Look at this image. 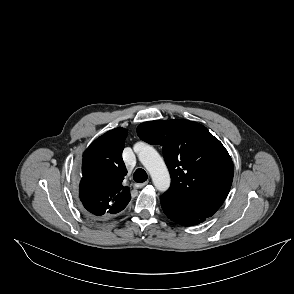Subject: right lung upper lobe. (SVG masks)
<instances>
[{"label":"right lung upper lobe","mask_w":294,"mask_h":294,"mask_svg":"<svg viewBox=\"0 0 294 294\" xmlns=\"http://www.w3.org/2000/svg\"><path fill=\"white\" fill-rule=\"evenodd\" d=\"M127 131L110 130L84 152L79 197L85 209L96 217H110L130 201L129 188L122 185L127 174L122 159Z\"/></svg>","instance_id":"right-lung-upper-lobe-1"}]
</instances>
